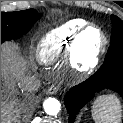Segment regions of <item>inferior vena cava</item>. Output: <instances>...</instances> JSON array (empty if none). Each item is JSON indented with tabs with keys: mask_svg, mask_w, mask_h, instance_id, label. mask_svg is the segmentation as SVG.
Segmentation results:
<instances>
[{
	"mask_svg": "<svg viewBox=\"0 0 123 123\" xmlns=\"http://www.w3.org/2000/svg\"><path fill=\"white\" fill-rule=\"evenodd\" d=\"M19 84L20 88L27 93L37 91L41 85L39 79L35 75L24 77Z\"/></svg>",
	"mask_w": 123,
	"mask_h": 123,
	"instance_id": "1",
	"label": "inferior vena cava"
}]
</instances>
